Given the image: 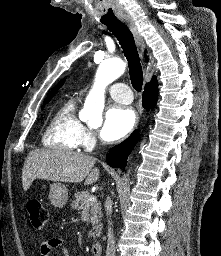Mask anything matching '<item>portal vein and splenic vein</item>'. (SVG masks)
Here are the masks:
<instances>
[{"instance_id":"1","label":"portal vein and splenic vein","mask_w":221,"mask_h":256,"mask_svg":"<svg viewBox=\"0 0 221 256\" xmlns=\"http://www.w3.org/2000/svg\"><path fill=\"white\" fill-rule=\"evenodd\" d=\"M96 201H97V199H96L95 196H91V197H89V199H88V202H91V203L96 202Z\"/></svg>"}]
</instances>
